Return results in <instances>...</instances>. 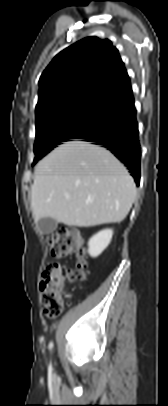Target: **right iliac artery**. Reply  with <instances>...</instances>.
I'll use <instances>...</instances> for the list:
<instances>
[{
	"mask_svg": "<svg viewBox=\"0 0 168 406\" xmlns=\"http://www.w3.org/2000/svg\"><path fill=\"white\" fill-rule=\"evenodd\" d=\"M49 348H50V349L53 348V343H52V342L49 343Z\"/></svg>",
	"mask_w": 168,
	"mask_h": 406,
	"instance_id": "1",
	"label": "right iliac artery"
}]
</instances>
